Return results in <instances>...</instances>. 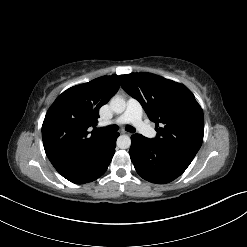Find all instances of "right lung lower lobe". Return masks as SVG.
Wrapping results in <instances>:
<instances>
[{
	"mask_svg": "<svg viewBox=\"0 0 247 247\" xmlns=\"http://www.w3.org/2000/svg\"><path fill=\"white\" fill-rule=\"evenodd\" d=\"M119 133L106 136L84 158L56 170L67 180L76 184L92 182L107 170L115 153L116 139Z\"/></svg>",
	"mask_w": 247,
	"mask_h": 247,
	"instance_id": "98d812e1",
	"label": "right lung lower lobe"
}]
</instances>
